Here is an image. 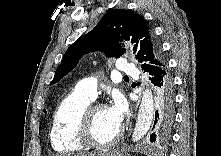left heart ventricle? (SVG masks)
<instances>
[{
  "instance_id": "obj_1",
  "label": "left heart ventricle",
  "mask_w": 221,
  "mask_h": 156,
  "mask_svg": "<svg viewBox=\"0 0 221 156\" xmlns=\"http://www.w3.org/2000/svg\"><path fill=\"white\" fill-rule=\"evenodd\" d=\"M117 127L109 118L106 107L95 110L92 119V137L98 142H107L118 132Z\"/></svg>"
}]
</instances>
